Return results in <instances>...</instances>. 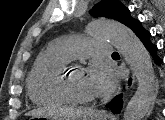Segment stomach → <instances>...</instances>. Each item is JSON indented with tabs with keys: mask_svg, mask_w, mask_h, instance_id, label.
Returning <instances> with one entry per match:
<instances>
[{
	"mask_svg": "<svg viewBox=\"0 0 165 120\" xmlns=\"http://www.w3.org/2000/svg\"><path fill=\"white\" fill-rule=\"evenodd\" d=\"M31 119H47V120H51L50 117L45 116V115H35ZM57 119L58 118H56V120ZM52 120H54V119H52ZM59 120H63V119H59ZM76 120H111V119H110V117H108L105 114L98 113V112H95V111H90L86 115H83V116L77 118Z\"/></svg>",
	"mask_w": 165,
	"mask_h": 120,
	"instance_id": "obj_1",
	"label": "stomach"
}]
</instances>
